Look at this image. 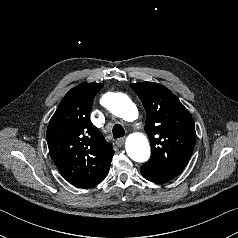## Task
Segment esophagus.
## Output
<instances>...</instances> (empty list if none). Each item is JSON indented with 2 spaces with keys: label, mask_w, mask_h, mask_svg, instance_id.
Masks as SVG:
<instances>
[{
  "label": "esophagus",
  "mask_w": 238,
  "mask_h": 238,
  "mask_svg": "<svg viewBox=\"0 0 238 238\" xmlns=\"http://www.w3.org/2000/svg\"><path fill=\"white\" fill-rule=\"evenodd\" d=\"M124 142H125V139H124V138H118V139H116L115 144H116L118 147H122V146L124 145Z\"/></svg>",
  "instance_id": "esophagus-1"
}]
</instances>
